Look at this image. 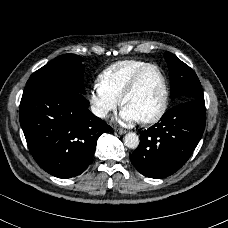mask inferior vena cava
<instances>
[{
  "mask_svg": "<svg viewBox=\"0 0 228 228\" xmlns=\"http://www.w3.org/2000/svg\"><path fill=\"white\" fill-rule=\"evenodd\" d=\"M92 112H93L96 116L101 117V118H103V117H105V116L107 115V112H106V111H104V110H102V109H98V108H96V107H92Z\"/></svg>",
  "mask_w": 228,
  "mask_h": 228,
  "instance_id": "602c4592",
  "label": "inferior vena cava"
}]
</instances>
